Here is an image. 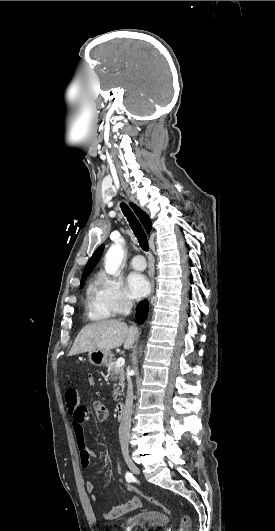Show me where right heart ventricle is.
<instances>
[{"instance_id": "obj_1", "label": "right heart ventricle", "mask_w": 275, "mask_h": 531, "mask_svg": "<svg viewBox=\"0 0 275 531\" xmlns=\"http://www.w3.org/2000/svg\"><path fill=\"white\" fill-rule=\"evenodd\" d=\"M92 289H93V287L90 285L89 290H88V295H89V296L92 295ZM90 314H91L94 318H96V319H102V318H105L103 315L99 314L98 312H96V311L93 310L92 308H91Z\"/></svg>"}]
</instances>
